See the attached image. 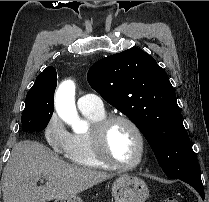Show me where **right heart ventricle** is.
<instances>
[{"instance_id":"e07e8e85","label":"right heart ventricle","mask_w":209,"mask_h":202,"mask_svg":"<svg viewBox=\"0 0 209 202\" xmlns=\"http://www.w3.org/2000/svg\"><path fill=\"white\" fill-rule=\"evenodd\" d=\"M90 121L92 126L105 118V113L95 111H81ZM65 157L72 163L85 167L103 169L107 168L96 156L91 139V131L84 133H74L71 135V141Z\"/></svg>"}]
</instances>
